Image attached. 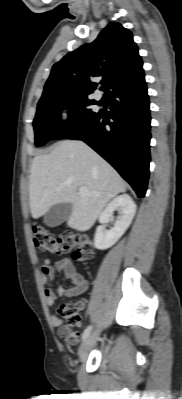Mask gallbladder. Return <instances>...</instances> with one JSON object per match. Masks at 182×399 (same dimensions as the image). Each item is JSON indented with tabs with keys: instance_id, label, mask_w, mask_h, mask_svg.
Listing matches in <instances>:
<instances>
[{
	"instance_id": "1",
	"label": "gallbladder",
	"mask_w": 182,
	"mask_h": 399,
	"mask_svg": "<svg viewBox=\"0 0 182 399\" xmlns=\"http://www.w3.org/2000/svg\"><path fill=\"white\" fill-rule=\"evenodd\" d=\"M72 210L73 205L71 203H58L46 212L44 223L48 227H57L69 218Z\"/></svg>"
}]
</instances>
